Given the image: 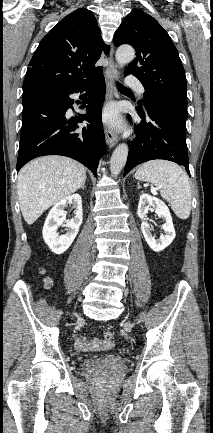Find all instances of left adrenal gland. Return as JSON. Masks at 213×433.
<instances>
[{
  "instance_id": "a2214340",
  "label": "left adrenal gland",
  "mask_w": 213,
  "mask_h": 433,
  "mask_svg": "<svg viewBox=\"0 0 213 433\" xmlns=\"http://www.w3.org/2000/svg\"><path fill=\"white\" fill-rule=\"evenodd\" d=\"M137 185H138V189H140V188H141L140 184H139V183H137Z\"/></svg>"
}]
</instances>
